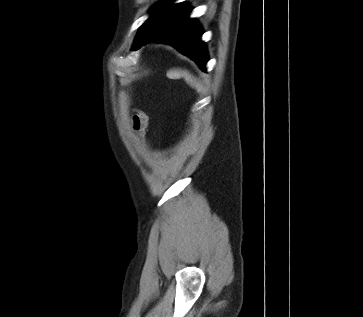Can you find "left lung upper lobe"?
<instances>
[{
	"instance_id": "1",
	"label": "left lung upper lobe",
	"mask_w": 363,
	"mask_h": 317,
	"mask_svg": "<svg viewBox=\"0 0 363 317\" xmlns=\"http://www.w3.org/2000/svg\"><path fill=\"white\" fill-rule=\"evenodd\" d=\"M153 10H154V8H153ZM150 21H151V17L145 23H143V25L141 26V28L138 32V35L136 36L135 42H137L141 38V36L144 34L146 29L148 28Z\"/></svg>"
}]
</instances>
